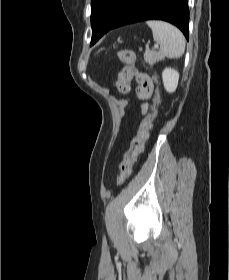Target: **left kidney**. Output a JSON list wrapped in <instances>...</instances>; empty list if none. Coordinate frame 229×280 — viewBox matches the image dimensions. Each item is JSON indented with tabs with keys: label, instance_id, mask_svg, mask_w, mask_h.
<instances>
[{
	"label": "left kidney",
	"instance_id": "5707ae66",
	"mask_svg": "<svg viewBox=\"0 0 229 280\" xmlns=\"http://www.w3.org/2000/svg\"><path fill=\"white\" fill-rule=\"evenodd\" d=\"M162 80L166 91L173 93L178 86L179 73L175 69L165 68L162 72Z\"/></svg>",
	"mask_w": 229,
	"mask_h": 280
}]
</instances>
